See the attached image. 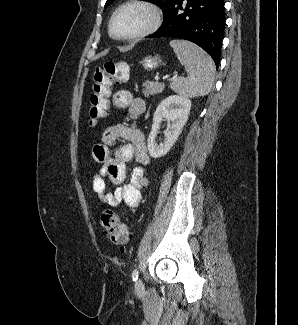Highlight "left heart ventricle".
<instances>
[{
	"label": "left heart ventricle",
	"instance_id": "obj_1",
	"mask_svg": "<svg viewBox=\"0 0 298 325\" xmlns=\"http://www.w3.org/2000/svg\"><path fill=\"white\" fill-rule=\"evenodd\" d=\"M146 21V16L138 10L123 11L115 19L114 33L117 37L129 39L144 27Z\"/></svg>",
	"mask_w": 298,
	"mask_h": 325
}]
</instances>
